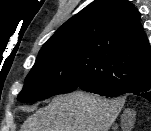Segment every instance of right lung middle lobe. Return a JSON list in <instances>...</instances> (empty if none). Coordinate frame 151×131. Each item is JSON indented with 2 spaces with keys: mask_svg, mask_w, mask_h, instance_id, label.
I'll list each match as a JSON object with an SVG mask.
<instances>
[{
  "mask_svg": "<svg viewBox=\"0 0 151 131\" xmlns=\"http://www.w3.org/2000/svg\"><path fill=\"white\" fill-rule=\"evenodd\" d=\"M86 80L95 85H106L95 59L74 43L62 42L40 50L17 100L29 103L69 93Z\"/></svg>",
  "mask_w": 151,
  "mask_h": 131,
  "instance_id": "1",
  "label": "right lung middle lobe"
}]
</instances>
